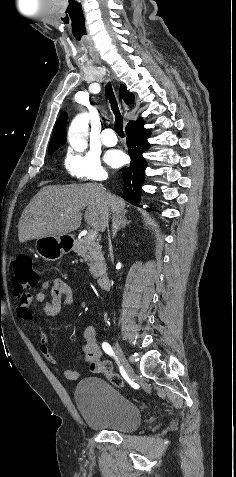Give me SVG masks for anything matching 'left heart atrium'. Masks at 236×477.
I'll return each mask as SVG.
<instances>
[{
	"label": "left heart atrium",
	"mask_w": 236,
	"mask_h": 477,
	"mask_svg": "<svg viewBox=\"0 0 236 477\" xmlns=\"http://www.w3.org/2000/svg\"><path fill=\"white\" fill-rule=\"evenodd\" d=\"M107 162L113 167H119L125 163L126 157L123 152L113 150L107 153Z\"/></svg>",
	"instance_id": "39dd6f15"
}]
</instances>
